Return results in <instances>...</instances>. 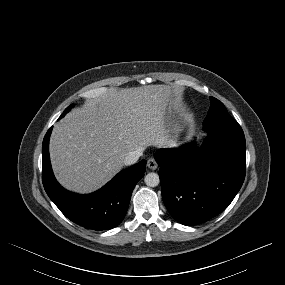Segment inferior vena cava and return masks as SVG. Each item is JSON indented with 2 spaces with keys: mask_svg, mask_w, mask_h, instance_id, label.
<instances>
[{
  "mask_svg": "<svg viewBox=\"0 0 285 285\" xmlns=\"http://www.w3.org/2000/svg\"><path fill=\"white\" fill-rule=\"evenodd\" d=\"M142 154L138 151H135V152H131L129 155H127L124 159V165H132V164H135L139 157L141 156Z\"/></svg>",
  "mask_w": 285,
  "mask_h": 285,
  "instance_id": "inferior-vena-cava-1",
  "label": "inferior vena cava"
}]
</instances>
